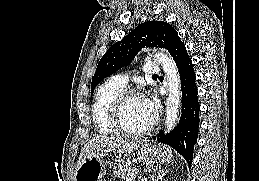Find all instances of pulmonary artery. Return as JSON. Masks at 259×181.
Instances as JSON below:
<instances>
[{
	"instance_id": "1",
	"label": "pulmonary artery",
	"mask_w": 259,
	"mask_h": 181,
	"mask_svg": "<svg viewBox=\"0 0 259 181\" xmlns=\"http://www.w3.org/2000/svg\"><path fill=\"white\" fill-rule=\"evenodd\" d=\"M161 71L159 65L155 63H146L144 66V74L146 76H153ZM112 83L124 88L128 80L123 75H115L110 80Z\"/></svg>"
}]
</instances>
